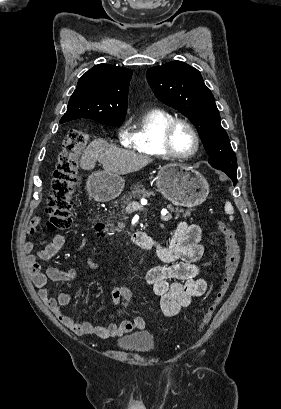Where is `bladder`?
Returning <instances> with one entry per match:
<instances>
[{
	"label": "bladder",
	"mask_w": 281,
	"mask_h": 409,
	"mask_svg": "<svg viewBox=\"0 0 281 409\" xmlns=\"http://www.w3.org/2000/svg\"><path fill=\"white\" fill-rule=\"evenodd\" d=\"M157 346L155 335L149 330H138L129 335H119L115 347L123 352L148 355L155 351Z\"/></svg>",
	"instance_id": "bladder-1"
}]
</instances>
